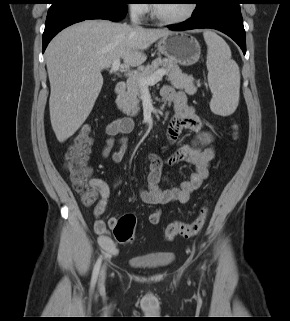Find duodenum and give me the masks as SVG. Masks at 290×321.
I'll list each match as a JSON object with an SVG mask.
<instances>
[{
  "instance_id": "duodenum-1",
  "label": "duodenum",
  "mask_w": 290,
  "mask_h": 321,
  "mask_svg": "<svg viewBox=\"0 0 290 321\" xmlns=\"http://www.w3.org/2000/svg\"><path fill=\"white\" fill-rule=\"evenodd\" d=\"M124 92H125V82L120 81V82L116 83L115 88H114L115 98L122 96L124 94Z\"/></svg>"
}]
</instances>
